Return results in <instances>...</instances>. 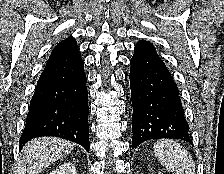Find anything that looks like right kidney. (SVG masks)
<instances>
[{"instance_id": "right-kidney-1", "label": "right kidney", "mask_w": 224, "mask_h": 174, "mask_svg": "<svg viewBox=\"0 0 224 174\" xmlns=\"http://www.w3.org/2000/svg\"><path fill=\"white\" fill-rule=\"evenodd\" d=\"M50 174H77L75 166L70 163H64L60 165L57 169L52 171Z\"/></svg>"}]
</instances>
